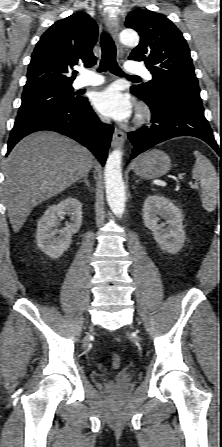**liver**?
I'll return each mask as SVG.
<instances>
[{
    "mask_svg": "<svg viewBox=\"0 0 222 447\" xmlns=\"http://www.w3.org/2000/svg\"><path fill=\"white\" fill-rule=\"evenodd\" d=\"M96 165L88 149L53 132L21 140L4 163L3 193L12 229L24 225L41 202L61 193Z\"/></svg>",
    "mask_w": 222,
    "mask_h": 447,
    "instance_id": "liver-1",
    "label": "liver"
}]
</instances>
